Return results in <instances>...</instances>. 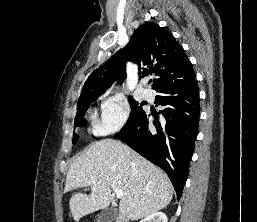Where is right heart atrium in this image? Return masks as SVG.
I'll list each match as a JSON object with an SVG mask.
<instances>
[{
	"label": "right heart atrium",
	"mask_w": 257,
	"mask_h": 222,
	"mask_svg": "<svg viewBox=\"0 0 257 222\" xmlns=\"http://www.w3.org/2000/svg\"><path fill=\"white\" fill-rule=\"evenodd\" d=\"M110 106L117 110L120 115V122L118 124L107 126L102 121H96L94 123V133L97 135H105L114 133L120 130L128 121L130 116V106L120 97L106 98L104 101V108Z\"/></svg>",
	"instance_id": "1"
}]
</instances>
